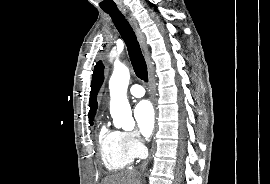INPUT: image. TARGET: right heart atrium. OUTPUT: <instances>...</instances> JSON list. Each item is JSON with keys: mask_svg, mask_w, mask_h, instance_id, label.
Returning a JSON list of instances; mask_svg holds the SVG:
<instances>
[{"mask_svg": "<svg viewBox=\"0 0 270 184\" xmlns=\"http://www.w3.org/2000/svg\"><path fill=\"white\" fill-rule=\"evenodd\" d=\"M126 147L134 157H140L144 153V146L134 132H123Z\"/></svg>", "mask_w": 270, "mask_h": 184, "instance_id": "d8ad5b80", "label": "right heart atrium"}]
</instances>
